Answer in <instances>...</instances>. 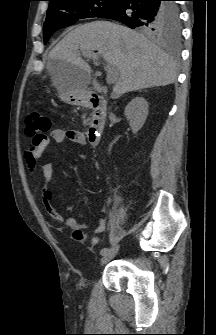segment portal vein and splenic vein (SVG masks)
Instances as JSON below:
<instances>
[{
    "instance_id": "portal-vein-and-splenic-vein-1",
    "label": "portal vein and splenic vein",
    "mask_w": 216,
    "mask_h": 335,
    "mask_svg": "<svg viewBox=\"0 0 216 335\" xmlns=\"http://www.w3.org/2000/svg\"><path fill=\"white\" fill-rule=\"evenodd\" d=\"M84 57H87L89 59H98V55L95 53H85L83 54ZM105 70L107 71V84L111 85L114 84L118 80V74L115 71L114 67L107 62V64L104 65Z\"/></svg>"
}]
</instances>
